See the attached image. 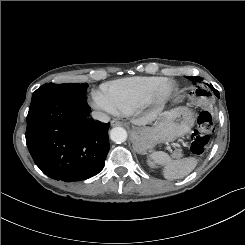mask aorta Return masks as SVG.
<instances>
[{
	"label": "aorta",
	"mask_w": 245,
	"mask_h": 245,
	"mask_svg": "<svg viewBox=\"0 0 245 245\" xmlns=\"http://www.w3.org/2000/svg\"><path fill=\"white\" fill-rule=\"evenodd\" d=\"M110 138L113 142L122 143L127 139V132L122 127H114L110 131Z\"/></svg>",
	"instance_id": "aorta-1"
}]
</instances>
